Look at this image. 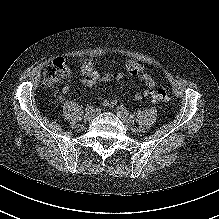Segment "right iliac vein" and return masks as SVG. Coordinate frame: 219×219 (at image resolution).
Segmentation results:
<instances>
[{"label": "right iliac vein", "instance_id": "1", "mask_svg": "<svg viewBox=\"0 0 219 219\" xmlns=\"http://www.w3.org/2000/svg\"><path fill=\"white\" fill-rule=\"evenodd\" d=\"M85 118L86 119H93L94 118V113L93 112H86L85 113Z\"/></svg>", "mask_w": 219, "mask_h": 219}]
</instances>
